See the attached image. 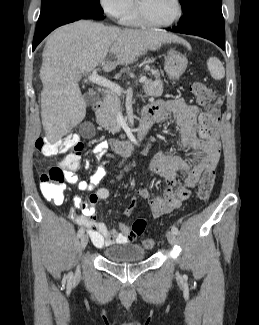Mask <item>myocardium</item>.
I'll use <instances>...</instances> for the list:
<instances>
[{
  "label": "myocardium",
  "instance_id": "obj_1",
  "mask_svg": "<svg viewBox=\"0 0 259 325\" xmlns=\"http://www.w3.org/2000/svg\"><path fill=\"white\" fill-rule=\"evenodd\" d=\"M174 4L176 6L175 15L169 21L166 22H156L149 19L143 11L140 0H136V13L140 22H142L143 24L155 28H166L174 25L182 17L183 5L181 0H174Z\"/></svg>",
  "mask_w": 259,
  "mask_h": 325
}]
</instances>
